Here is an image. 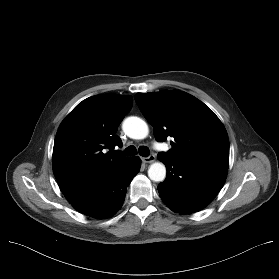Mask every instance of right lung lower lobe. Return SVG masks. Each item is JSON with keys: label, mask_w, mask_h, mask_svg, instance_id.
<instances>
[{"label": "right lung lower lobe", "mask_w": 279, "mask_h": 279, "mask_svg": "<svg viewBox=\"0 0 279 279\" xmlns=\"http://www.w3.org/2000/svg\"><path fill=\"white\" fill-rule=\"evenodd\" d=\"M140 159L132 157L121 169L90 185L63 193L72 206L87 216L105 218L122 206L127 187L140 170Z\"/></svg>", "instance_id": "98d812e1"}]
</instances>
